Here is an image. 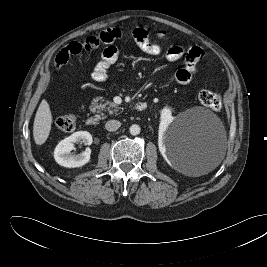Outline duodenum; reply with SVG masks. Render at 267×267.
Masks as SVG:
<instances>
[{
    "label": "duodenum",
    "mask_w": 267,
    "mask_h": 267,
    "mask_svg": "<svg viewBox=\"0 0 267 267\" xmlns=\"http://www.w3.org/2000/svg\"><path fill=\"white\" fill-rule=\"evenodd\" d=\"M147 108V102L146 101H139L135 104V109L138 111H143ZM85 123L88 126H94L99 123V120L96 116H89L86 118Z\"/></svg>",
    "instance_id": "duodenum-1"
}]
</instances>
